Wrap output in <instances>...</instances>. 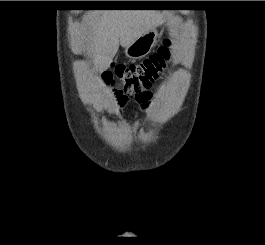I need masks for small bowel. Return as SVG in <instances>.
I'll use <instances>...</instances> for the list:
<instances>
[{
    "label": "small bowel",
    "instance_id": "small-bowel-1",
    "mask_svg": "<svg viewBox=\"0 0 265 245\" xmlns=\"http://www.w3.org/2000/svg\"><path fill=\"white\" fill-rule=\"evenodd\" d=\"M147 104H148V111H149V112H152V111H153V106H152V104H150L149 102H148Z\"/></svg>",
    "mask_w": 265,
    "mask_h": 245
}]
</instances>
